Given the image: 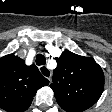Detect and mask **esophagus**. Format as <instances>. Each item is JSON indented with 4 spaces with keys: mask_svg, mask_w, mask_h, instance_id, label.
Masks as SVG:
<instances>
[{
    "mask_svg": "<svg viewBox=\"0 0 112 112\" xmlns=\"http://www.w3.org/2000/svg\"><path fill=\"white\" fill-rule=\"evenodd\" d=\"M39 70H40V72L42 73V70H47L46 71V75L47 76H45L43 73V75L50 81L51 80V71L47 68V66H40L39 67Z\"/></svg>",
    "mask_w": 112,
    "mask_h": 112,
    "instance_id": "1",
    "label": "esophagus"
}]
</instances>
